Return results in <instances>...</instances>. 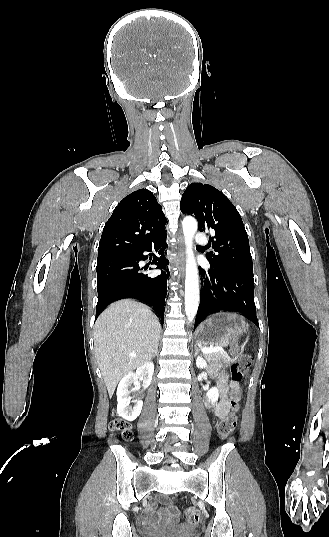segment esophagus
Returning a JSON list of instances; mask_svg holds the SVG:
<instances>
[{
    "mask_svg": "<svg viewBox=\"0 0 329 537\" xmlns=\"http://www.w3.org/2000/svg\"><path fill=\"white\" fill-rule=\"evenodd\" d=\"M178 241H179V245H180V259L178 261V264L180 265V271L181 273H184V260H185V256H184V238L182 236V234H179L178 236Z\"/></svg>",
    "mask_w": 329,
    "mask_h": 537,
    "instance_id": "esophagus-1",
    "label": "esophagus"
}]
</instances>
